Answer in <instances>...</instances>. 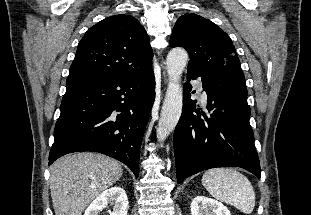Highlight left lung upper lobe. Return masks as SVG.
<instances>
[{"instance_id":"1","label":"left lung upper lobe","mask_w":311,"mask_h":215,"mask_svg":"<svg viewBox=\"0 0 311 215\" xmlns=\"http://www.w3.org/2000/svg\"><path fill=\"white\" fill-rule=\"evenodd\" d=\"M170 45L189 53L195 66L226 90L247 95L245 77L230 37L216 24L196 14L176 22Z\"/></svg>"}]
</instances>
